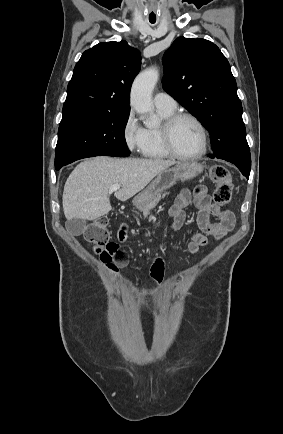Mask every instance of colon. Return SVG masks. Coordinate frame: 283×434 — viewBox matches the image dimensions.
<instances>
[{"label": "colon", "mask_w": 283, "mask_h": 434, "mask_svg": "<svg viewBox=\"0 0 283 434\" xmlns=\"http://www.w3.org/2000/svg\"><path fill=\"white\" fill-rule=\"evenodd\" d=\"M211 181L216 185L213 200L217 206H227L233 193V184L229 170L223 165H213L209 171ZM108 218L100 217L92 222L85 231V239L90 243L95 252L102 254L110 244L108 230Z\"/></svg>", "instance_id": "5ec220e1"}]
</instances>
